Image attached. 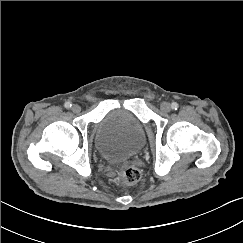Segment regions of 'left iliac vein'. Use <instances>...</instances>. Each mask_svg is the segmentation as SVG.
I'll return each mask as SVG.
<instances>
[{"instance_id": "4c4485c4", "label": "left iliac vein", "mask_w": 243, "mask_h": 243, "mask_svg": "<svg viewBox=\"0 0 243 243\" xmlns=\"http://www.w3.org/2000/svg\"><path fill=\"white\" fill-rule=\"evenodd\" d=\"M160 109L164 113H168L171 110V105L168 102H163L160 106Z\"/></svg>"}]
</instances>
